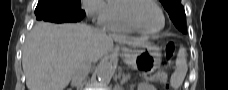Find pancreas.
<instances>
[{
	"label": "pancreas",
	"instance_id": "1",
	"mask_svg": "<svg viewBox=\"0 0 228 90\" xmlns=\"http://www.w3.org/2000/svg\"><path fill=\"white\" fill-rule=\"evenodd\" d=\"M149 80L151 81H163L165 82V79L162 80V77L161 76H152Z\"/></svg>",
	"mask_w": 228,
	"mask_h": 90
}]
</instances>
